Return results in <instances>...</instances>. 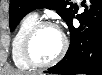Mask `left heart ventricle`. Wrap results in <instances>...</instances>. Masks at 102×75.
Returning <instances> with one entry per match:
<instances>
[{
	"label": "left heart ventricle",
	"instance_id": "left-heart-ventricle-1",
	"mask_svg": "<svg viewBox=\"0 0 102 75\" xmlns=\"http://www.w3.org/2000/svg\"><path fill=\"white\" fill-rule=\"evenodd\" d=\"M62 47V36L58 29L47 26L44 27L32 42V53L42 61L48 62L59 53Z\"/></svg>",
	"mask_w": 102,
	"mask_h": 75
}]
</instances>
